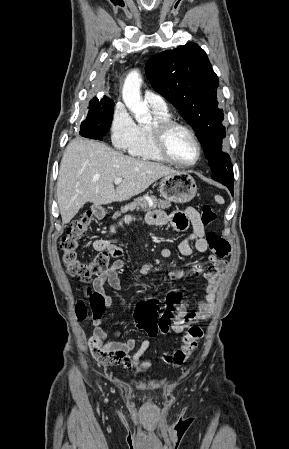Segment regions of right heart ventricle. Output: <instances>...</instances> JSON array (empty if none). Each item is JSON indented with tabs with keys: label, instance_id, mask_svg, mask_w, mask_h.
Instances as JSON below:
<instances>
[{
	"label": "right heart ventricle",
	"instance_id": "right-heart-ventricle-1",
	"mask_svg": "<svg viewBox=\"0 0 289 449\" xmlns=\"http://www.w3.org/2000/svg\"><path fill=\"white\" fill-rule=\"evenodd\" d=\"M155 119H170V115L167 110L153 109ZM133 156L147 160L165 161L164 158L157 152L152 135L150 132V126H139V138L136 145L130 150Z\"/></svg>",
	"mask_w": 289,
	"mask_h": 449
}]
</instances>
